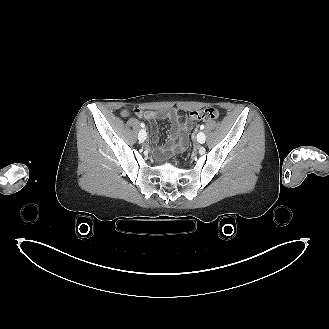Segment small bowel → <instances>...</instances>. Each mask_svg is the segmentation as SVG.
<instances>
[{
    "label": "small bowel",
    "mask_w": 329,
    "mask_h": 329,
    "mask_svg": "<svg viewBox=\"0 0 329 329\" xmlns=\"http://www.w3.org/2000/svg\"><path fill=\"white\" fill-rule=\"evenodd\" d=\"M135 113L152 125V140L158 142L159 133L154 125L157 119H168L171 127L169 130V139L167 143L161 147L156 154L163 158H169L173 153L180 152L186 147L188 132L193 127V122L189 118V114L184 109H164L161 111L135 109Z\"/></svg>",
    "instance_id": "1"
}]
</instances>
